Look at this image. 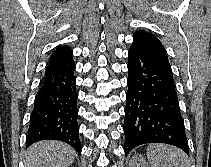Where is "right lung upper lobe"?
<instances>
[{"instance_id":"right-lung-upper-lobe-1","label":"right lung upper lobe","mask_w":211,"mask_h":167,"mask_svg":"<svg viewBox=\"0 0 211 167\" xmlns=\"http://www.w3.org/2000/svg\"><path fill=\"white\" fill-rule=\"evenodd\" d=\"M73 51L68 46H58L51 55L50 62L72 56Z\"/></svg>"}]
</instances>
